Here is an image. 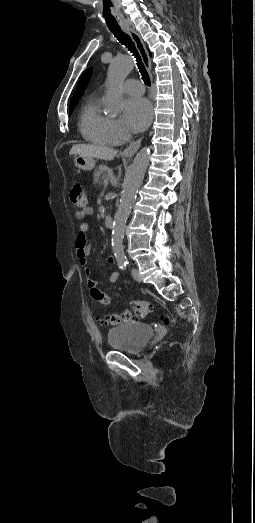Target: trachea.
I'll use <instances>...</instances> for the list:
<instances>
[{"label": "trachea", "mask_w": 255, "mask_h": 523, "mask_svg": "<svg viewBox=\"0 0 255 523\" xmlns=\"http://www.w3.org/2000/svg\"><path fill=\"white\" fill-rule=\"evenodd\" d=\"M109 30L113 33V35L116 37V39L122 44L125 45L126 48L129 49V51L135 56L138 68L140 70V73L142 75V79L144 80V83L150 87V77L148 75V72L146 71V68L141 60V57L136 49L135 43L131 39V37L123 32L120 27L117 28H109Z\"/></svg>", "instance_id": "trachea-1"}]
</instances>
